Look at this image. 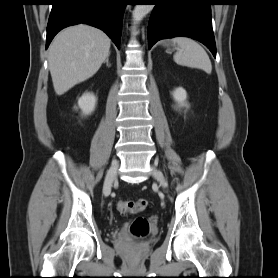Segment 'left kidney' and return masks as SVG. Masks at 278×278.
<instances>
[{"label":"left kidney","mask_w":278,"mask_h":278,"mask_svg":"<svg viewBox=\"0 0 278 278\" xmlns=\"http://www.w3.org/2000/svg\"><path fill=\"white\" fill-rule=\"evenodd\" d=\"M172 95H173L174 100L179 105V107L187 106V103H186L187 93H186L185 89H183L182 87H178L174 90Z\"/></svg>","instance_id":"5707ae66"}]
</instances>
